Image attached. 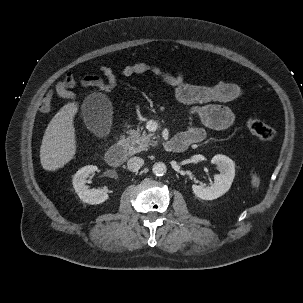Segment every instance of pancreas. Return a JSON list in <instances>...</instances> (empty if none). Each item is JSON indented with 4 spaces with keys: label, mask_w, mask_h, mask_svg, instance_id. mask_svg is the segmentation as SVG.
<instances>
[{
    "label": "pancreas",
    "mask_w": 303,
    "mask_h": 303,
    "mask_svg": "<svg viewBox=\"0 0 303 303\" xmlns=\"http://www.w3.org/2000/svg\"><path fill=\"white\" fill-rule=\"evenodd\" d=\"M141 129L137 130L130 129L126 137V145L129 149V155L136 154L138 152L147 150L150 146H154L156 141V136L154 134L141 133Z\"/></svg>",
    "instance_id": "cf45deb5"
}]
</instances>
